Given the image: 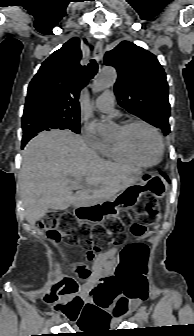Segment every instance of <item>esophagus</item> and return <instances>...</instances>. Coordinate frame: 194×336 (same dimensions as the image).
<instances>
[{
    "label": "esophagus",
    "instance_id": "1",
    "mask_svg": "<svg viewBox=\"0 0 194 336\" xmlns=\"http://www.w3.org/2000/svg\"><path fill=\"white\" fill-rule=\"evenodd\" d=\"M95 59L100 62L103 57V42L101 40L97 41L94 49Z\"/></svg>",
    "mask_w": 194,
    "mask_h": 336
}]
</instances>
